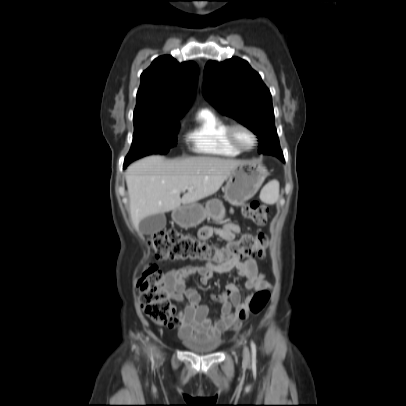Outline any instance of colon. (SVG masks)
I'll return each instance as SVG.
<instances>
[{"mask_svg": "<svg viewBox=\"0 0 406 406\" xmlns=\"http://www.w3.org/2000/svg\"><path fill=\"white\" fill-rule=\"evenodd\" d=\"M240 210L244 218L259 225L268 223L270 219L268 209L258 201L245 203ZM150 245L155 259L160 261H204L218 266L246 258H263L267 238L264 235L245 233L222 247H216L188 234L168 230L154 233L150 238ZM137 289L144 313L158 324H169L173 306L167 297L164 275L157 265H146L137 281ZM269 297L266 289L256 292L248 306L240 310L239 319L246 320L249 316L258 315L265 308Z\"/></svg>", "mask_w": 406, "mask_h": 406, "instance_id": "5ec220e1", "label": "colon"}]
</instances>
